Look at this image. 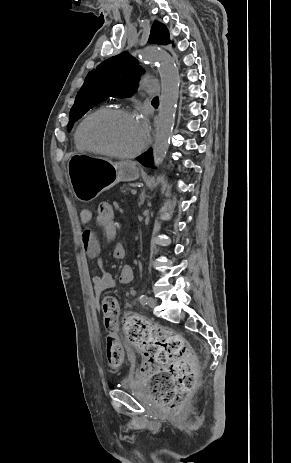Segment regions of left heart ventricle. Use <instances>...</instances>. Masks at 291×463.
<instances>
[{"mask_svg": "<svg viewBox=\"0 0 291 463\" xmlns=\"http://www.w3.org/2000/svg\"><path fill=\"white\" fill-rule=\"evenodd\" d=\"M87 135L95 144L121 153L135 151L144 140L136 119L130 117L94 121L88 127Z\"/></svg>", "mask_w": 291, "mask_h": 463, "instance_id": "1", "label": "left heart ventricle"}]
</instances>
